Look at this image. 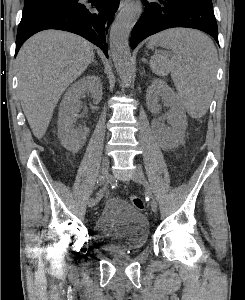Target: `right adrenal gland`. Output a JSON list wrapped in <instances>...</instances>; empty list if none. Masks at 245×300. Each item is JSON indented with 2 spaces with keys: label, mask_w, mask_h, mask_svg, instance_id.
Listing matches in <instances>:
<instances>
[{
  "label": "right adrenal gland",
  "mask_w": 245,
  "mask_h": 300,
  "mask_svg": "<svg viewBox=\"0 0 245 300\" xmlns=\"http://www.w3.org/2000/svg\"><path fill=\"white\" fill-rule=\"evenodd\" d=\"M92 63H95V64H97V61L93 59V60H92Z\"/></svg>",
  "instance_id": "1"
}]
</instances>
